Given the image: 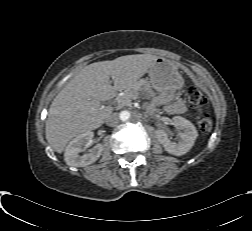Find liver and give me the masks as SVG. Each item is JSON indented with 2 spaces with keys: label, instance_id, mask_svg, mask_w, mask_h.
I'll return each mask as SVG.
<instances>
[{
  "label": "liver",
  "instance_id": "6515ba94",
  "mask_svg": "<svg viewBox=\"0 0 252 231\" xmlns=\"http://www.w3.org/2000/svg\"><path fill=\"white\" fill-rule=\"evenodd\" d=\"M158 58L151 54L126 55L83 68L50 105L45 126L50 146L62 153L71 139L100 127L112 113V107H102L100 102L114 98L117 92L137 91L140 78Z\"/></svg>",
  "mask_w": 252,
  "mask_h": 231
}]
</instances>
